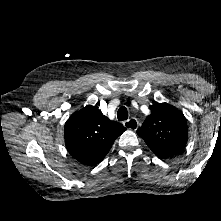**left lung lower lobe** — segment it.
<instances>
[{"mask_svg":"<svg viewBox=\"0 0 221 221\" xmlns=\"http://www.w3.org/2000/svg\"><path fill=\"white\" fill-rule=\"evenodd\" d=\"M179 153V152H178ZM177 154V153H176ZM172 155V154H171ZM171 155H166V156H158V157H160V158H167V157H169V156H171Z\"/></svg>","mask_w":221,"mask_h":221,"instance_id":"left-lung-lower-lobe-1","label":"left lung lower lobe"}]
</instances>
